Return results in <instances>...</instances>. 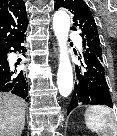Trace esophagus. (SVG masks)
Returning a JSON list of instances; mask_svg holds the SVG:
<instances>
[{
  "label": "esophagus",
  "mask_w": 117,
  "mask_h": 136,
  "mask_svg": "<svg viewBox=\"0 0 117 136\" xmlns=\"http://www.w3.org/2000/svg\"><path fill=\"white\" fill-rule=\"evenodd\" d=\"M55 57L57 56V50L54 48Z\"/></svg>",
  "instance_id": "esophagus-1"
}]
</instances>
